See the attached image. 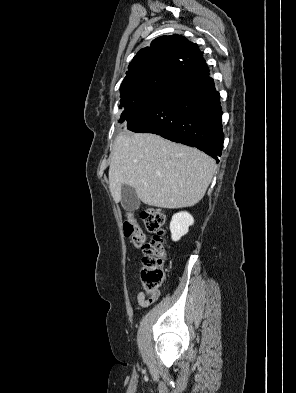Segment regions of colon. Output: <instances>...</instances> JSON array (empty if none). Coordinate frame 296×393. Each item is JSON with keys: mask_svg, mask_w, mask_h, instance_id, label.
Masks as SVG:
<instances>
[{"mask_svg": "<svg viewBox=\"0 0 296 393\" xmlns=\"http://www.w3.org/2000/svg\"><path fill=\"white\" fill-rule=\"evenodd\" d=\"M146 229L154 234L153 240L145 241L137 219L129 213L123 223V231L129 237L136 248L143 251L142 267L140 269V281L149 296H155L166 278L164 263L166 252L162 236L164 234L165 213L159 207H147L141 213Z\"/></svg>", "mask_w": 296, "mask_h": 393, "instance_id": "1", "label": "colon"}]
</instances>
